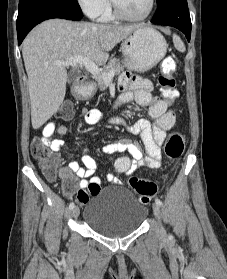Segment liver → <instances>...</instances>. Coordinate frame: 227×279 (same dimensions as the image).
Here are the masks:
<instances>
[{
  "label": "liver",
  "instance_id": "obj_1",
  "mask_svg": "<svg viewBox=\"0 0 227 279\" xmlns=\"http://www.w3.org/2000/svg\"><path fill=\"white\" fill-rule=\"evenodd\" d=\"M139 25H108L50 19L36 26L24 39L22 55L28 75L33 129L57 112L66 94L67 70L57 65L84 56L104 65L111 51Z\"/></svg>",
  "mask_w": 227,
  "mask_h": 279
}]
</instances>
